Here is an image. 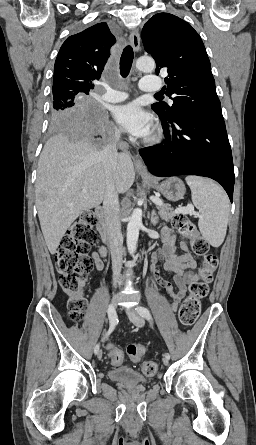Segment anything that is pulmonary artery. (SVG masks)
I'll return each mask as SVG.
<instances>
[{
    "instance_id": "obj_1",
    "label": "pulmonary artery",
    "mask_w": 256,
    "mask_h": 445,
    "mask_svg": "<svg viewBox=\"0 0 256 445\" xmlns=\"http://www.w3.org/2000/svg\"><path fill=\"white\" fill-rule=\"evenodd\" d=\"M140 89L144 92H157L161 88V82L157 77L144 76L140 81ZM127 95L119 90L108 88L103 99L110 103L123 101Z\"/></svg>"
}]
</instances>
